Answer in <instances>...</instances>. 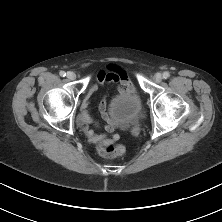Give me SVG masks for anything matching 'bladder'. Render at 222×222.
<instances>
[{"mask_svg":"<svg viewBox=\"0 0 222 222\" xmlns=\"http://www.w3.org/2000/svg\"><path fill=\"white\" fill-rule=\"evenodd\" d=\"M111 115L120 121H134L143 114L141 99L133 94L118 95L111 104Z\"/></svg>","mask_w":222,"mask_h":222,"instance_id":"31cf9c89","label":"bladder"}]
</instances>
